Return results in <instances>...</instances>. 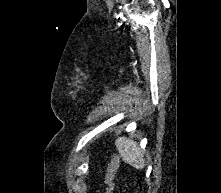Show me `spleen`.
Wrapping results in <instances>:
<instances>
[{"label":"spleen","instance_id":"3e777b00","mask_svg":"<svg viewBox=\"0 0 221 193\" xmlns=\"http://www.w3.org/2000/svg\"><path fill=\"white\" fill-rule=\"evenodd\" d=\"M115 144L120 156L126 163L135 168H144L145 160L143 151L139 148L137 142L125 137H119Z\"/></svg>","mask_w":221,"mask_h":193}]
</instances>
